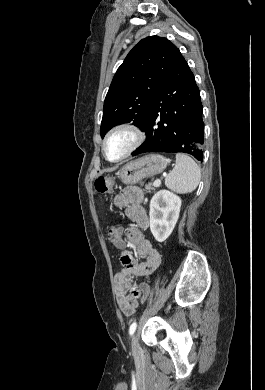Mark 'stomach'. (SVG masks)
I'll use <instances>...</instances> for the list:
<instances>
[{
  "label": "stomach",
  "mask_w": 265,
  "mask_h": 390,
  "mask_svg": "<svg viewBox=\"0 0 265 390\" xmlns=\"http://www.w3.org/2000/svg\"><path fill=\"white\" fill-rule=\"evenodd\" d=\"M167 159L159 154H149L124 165L117 175L126 185L160 174L167 166Z\"/></svg>",
  "instance_id": "obj_1"
}]
</instances>
